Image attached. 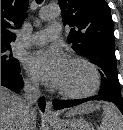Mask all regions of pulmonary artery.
Wrapping results in <instances>:
<instances>
[{
	"mask_svg": "<svg viewBox=\"0 0 123 130\" xmlns=\"http://www.w3.org/2000/svg\"><path fill=\"white\" fill-rule=\"evenodd\" d=\"M61 27L59 24H51L48 28L40 30L33 34L29 42L33 45L45 44L49 41L57 39L60 37Z\"/></svg>",
	"mask_w": 123,
	"mask_h": 130,
	"instance_id": "e3ab8cb5",
	"label": "pulmonary artery"
}]
</instances>
